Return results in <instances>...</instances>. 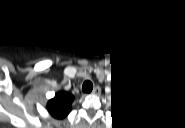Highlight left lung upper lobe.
<instances>
[{"label":"left lung upper lobe","instance_id":"5c2ea615","mask_svg":"<svg viewBox=\"0 0 185 128\" xmlns=\"http://www.w3.org/2000/svg\"><path fill=\"white\" fill-rule=\"evenodd\" d=\"M135 102L134 98H126L124 99L119 106H116L118 108V114L123 117H128L133 112V108L129 105L133 104Z\"/></svg>","mask_w":185,"mask_h":128}]
</instances>
